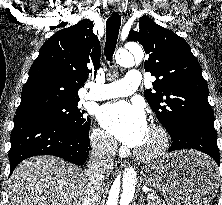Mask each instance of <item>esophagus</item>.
<instances>
[{
    "label": "esophagus",
    "mask_w": 222,
    "mask_h": 205,
    "mask_svg": "<svg viewBox=\"0 0 222 205\" xmlns=\"http://www.w3.org/2000/svg\"><path fill=\"white\" fill-rule=\"evenodd\" d=\"M113 10L116 11V12H118V11L121 10V8H120L119 6H114V7H113ZM125 166H126V164H125V162H123L122 160H118V161H116V163H115L116 169H122V168H124Z\"/></svg>",
    "instance_id": "1"
}]
</instances>
